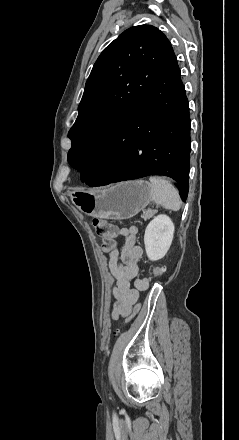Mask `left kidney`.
<instances>
[{"instance_id": "5707ae66", "label": "left kidney", "mask_w": 239, "mask_h": 440, "mask_svg": "<svg viewBox=\"0 0 239 440\" xmlns=\"http://www.w3.org/2000/svg\"><path fill=\"white\" fill-rule=\"evenodd\" d=\"M174 224L168 216H156L145 230L144 244L149 260L156 262L167 254L173 240Z\"/></svg>"}]
</instances>
